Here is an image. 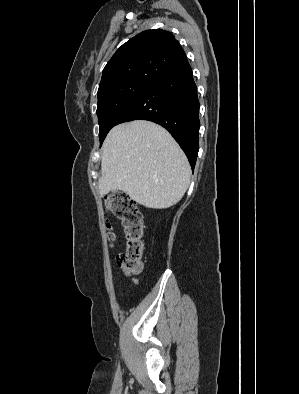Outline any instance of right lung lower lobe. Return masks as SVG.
I'll use <instances>...</instances> for the list:
<instances>
[{
    "mask_svg": "<svg viewBox=\"0 0 299 394\" xmlns=\"http://www.w3.org/2000/svg\"><path fill=\"white\" fill-rule=\"evenodd\" d=\"M138 119L155 122L167 129L194 169L199 150V101L188 60L155 80L128 107L117 124Z\"/></svg>",
    "mask_w": 299,
    "mask_h": 394,
    "instance_id": "1",
    "label": "right lung lower lobe"
}]
</instances>
